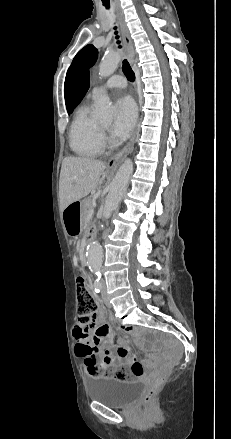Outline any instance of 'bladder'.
<instances>
[{"mask_svg": "<svg viewBox=\"0 0 231 439\" xmlns=\"http://www.w3.org/2000/svg\"><path fill=\"white\" fill-rule=\"evenodd\" d=\"M143 389L140 381H117L101 374L88 380L87 395L96 402L110 407H122L137 398Z\"/></svg>", "mask_w": 231, "mask_h": 439, "instance_id": "bladder-1", "label": "bladder"}]
</instances>
